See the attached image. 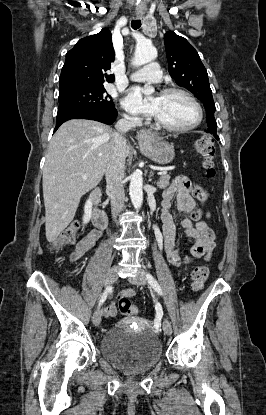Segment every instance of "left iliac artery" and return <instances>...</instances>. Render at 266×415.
<instances>
[{"mask_svg": "<svg viewBox=\"0 0 266 415\" xmlns=\"http://www.w3.org/2000/svg\"><path fill=\"white\" fill-rule=\"evenodd\" d=\"M146 279L148 283L153 287V289L157 291L160 295H162V289L160 285L150 273H146Z\"/></svg>", "mask_w": 266, "mask_h": 415, "instance_id": "obj_1", "label": "left iliac artery"}]
</instances>
